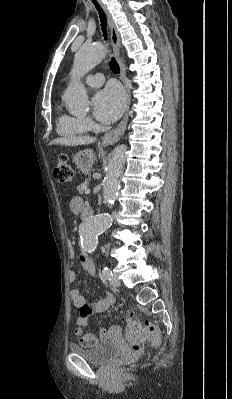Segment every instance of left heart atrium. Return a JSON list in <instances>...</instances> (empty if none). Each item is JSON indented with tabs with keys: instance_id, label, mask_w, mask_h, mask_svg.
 I'll use <instances>...</instances> for the list:
<instances>
[{
	"instance_id": "left-heart-atrium-1",
	"label": "left heart atrium",
	"mask_w": 232,
	"mask_h": 399,
	"mask_svg": "<svg viewBox=\"0 0 232 399\" xmlns=\"http://www.w3.org/2000/svg\"><path fill=\"white\" fill-rule=\"evenodd\" d=\"M124 106L123 93L118 88L109 86L94 97L93 114L98 121L111 124L122 115Z\"/></svg>"
}]
</instances>
